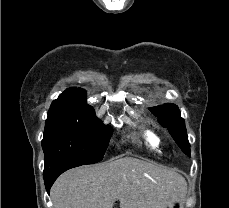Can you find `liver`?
I'll use <instances>...</instances> for the list:
<instances>
[{
	"label": "liver",
	"mask_w": 229,
	"mask_h": 208,
	"mask_svg": "<svg viewBox=\"0 0 229 208\" xmlns=\"http://www.w3.org/2000/svg\"><path fill=\"white\" fill-rule=\"evenodd\" d=\"M187 182L172 168L136 158L80 166L62 174L51 188L54 208H168L185 196Z\"/></svg>",
	"instance_id": "liver-1"
}]
</instances>
